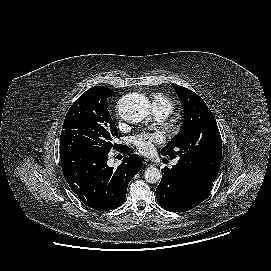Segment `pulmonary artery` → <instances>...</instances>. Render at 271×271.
<instances>
[{
	"label": "pulmonary artery",
	"mask_w": 271,
	"mask_h": 271,
	"mask_svg": "<svg viewBox=\"0 0 271 271\" xmlns=\"http://www.w3.org/2000/svg\"><path fill=\"white\" fill-rule=\"evenodd\" d=\"M155 109V113H156V116L159 118V119H165L168 115H169V111L166 110V109H163V108H159L157 106L154 107ZM177 164V161H174L172 163V165H176Z\"/></svg>",
	"instance_id": "e3ab8cb5"
}]
</instances>
